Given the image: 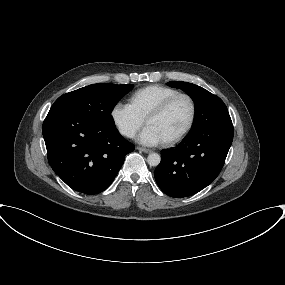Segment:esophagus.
Segmentation results:
<instances>
[{
  "label": "esophagus",
  "instance_id": "obj_1",
  "mask_svg": "<svg viewBox=\"0 0 285 285\" xmlns=\"http://www.w3.org/2000/svg\"><path fill=\"white\" fill-rule=\"evenodd\" d=\"M137 150L144 153H151L152 151L143 147H137Z\"/></svg>",
  "mask_w": 285,
  "mask_h": 285
}]
</instances>
